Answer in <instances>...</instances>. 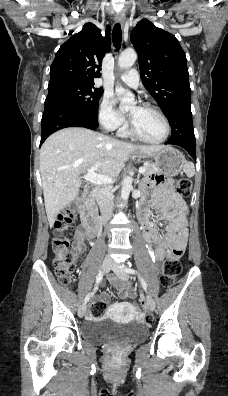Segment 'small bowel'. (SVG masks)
<instances>
[{
	"mask_svg": "<svg viewBox=\"0 0 228 396\" xmlns=\"http://www.w3.org/2000/svg\"><path fill=\"white\" fill-rule=\"evenodd\" d=\"M151 188L159 193L158 202L160 206V214L167 220V230L173 246L175 248L185 249L188 229H187V210L181 197L172 192L169 188L167 180L161 176H157L149 182ZM148 214V201L144 202L141 209V215L146 220ZM77 240L74 245V252L77 256L84 250L85 239H91L94 235L87 230L80 228L76 233ZM146 240L151 242L155 241L157 247L154 252L156 261H161L165 255V245L161 238H158L156 232L153 229H149L146 232ZM110 282L119 289V297L121 300H126L129 297L134 296L133 289L116 277L111 276ZM99 301L104 305L110 301V294L103 292L99 296Z\"/></svg>",
	"mask_w": 228,
	"mask_h": 396,
	"instance_id": "obj_1",
	"label": "small bowel"
}]
</instances>
